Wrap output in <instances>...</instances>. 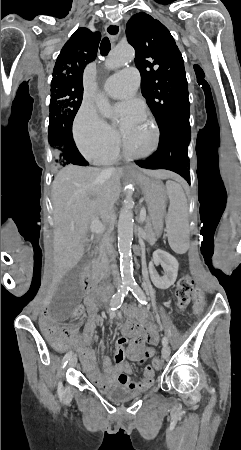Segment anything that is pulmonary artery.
I'll return each mask as SVG.
<instances>
[{
    "label": "pulmonary artery",
    "mask_w": 241,
    "mask_h": 450,
    "mask_svg": "<svg viewBox=\"0 0 241 450\" xmlns=\"http://www.w3.org/2000/svg\"><path fill=\"white\" fill-rule=\"evenodd\" d=\"M140 76L139 66L137 64H128L126 69L116 74H109L105 83L104 90L108 94L109 102L116 99L123 100L130 98L135 93V88L131 83H136Z\"/></svg>",
    "instance_id": "1"
}]
</instances>
